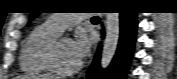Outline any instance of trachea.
<instances>
[{
  "mask_svg": "<svg viewBox=\"0 0 177 79\" xmlns=\"http://www.w3.org/2000/svg\"><path fill=\"white\" fill-rule=\"evenodd\" d=\"M97 20H99V18L97 16L92 18V21H97Z\"/></svg>",
  "mask_w": 177,
  "mask_h": 79,
  "instance_id": "trachea-1",
  "label": "trachea"
}]
</instances>
